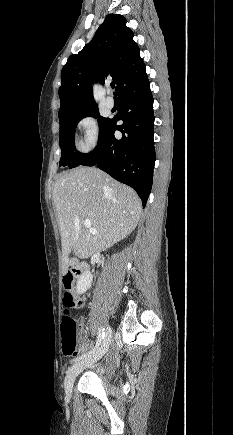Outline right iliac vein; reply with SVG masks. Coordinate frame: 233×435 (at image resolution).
Returning a JSON list of instances; mask_svg holds the SVG:
<instances>
[{"instance_id": "obj_1", "label": "right iliac vein", "mask_w": 233, "mask_h": 435, "mask_svg": "<svg viewBox=\"0 0 233 435\" xmlns=\"http://www.w3.org/2000/svg\"><path fill=\"white\" fill-rule=\"evenodd\" d=\"M111 337L112 330L110 327H108L105 337L97 351L92 355H89L88 357L82 359L81 361H78L68 370L64 380V387L67 397L71 396L73 384L78 374L86 367L92 366L107 352L111 343Z\"/></svg>"}]
</instances>
